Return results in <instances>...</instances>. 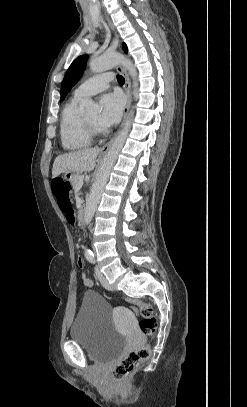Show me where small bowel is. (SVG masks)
<instances>
[{
    "instance_id": "1",
    "label": "small bowel",
    "mask_w": 247,
    "mask_h": 407,
    "mask_svg": "<svg viewBox=\"0 0 247 407\" xmlns=\"http://www.w3.org/2000/svg\"><path fill=\"white\" fill-rule=\"evenodd\" d=\"M64 215H65L66 221L69 224H71V225L75 224L76 219H75V213H74L73 209H71L68 213H65ZM77 263L80 267H82L83 261L81 259H78ZM82 280L86 287H91L93 285L92 280L89 279L86 274H82Z\"/></svg>"
}]
</instances>
